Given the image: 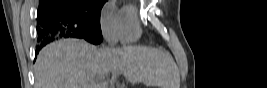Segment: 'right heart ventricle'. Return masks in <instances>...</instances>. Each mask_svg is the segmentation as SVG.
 <instances>
[{
    "label": "right heart ventricle",
    "mask_w": 267,
    "mask_h": 88,
    "mask_svg": "<svg viewBox=\"0 0 267 88\" xmlns=\"http://www.w3.org/2000/svg\"><path fill=\"white\" fill-rule=\"evenodd\" d=\"M121 15V39L125 43L136 41L141 29L137 20V11L131 5L124 6L120 10Z\"/></svg>",
    "instance_id": "obj_1"
}]
</instances>
